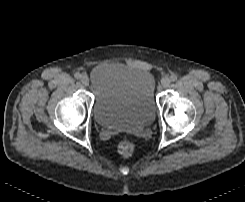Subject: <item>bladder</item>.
<instances>
[{
	"label": "bladder",
	"instance_id": "bladder-1",
	"mask_svg": "<svg viewBox=\"0 0 245 202\" xmlns=\"http://www.w3.org/2000/svg\"><path fill=\"white\" fill-rule=\"evenodd\" d=\"M92 114L100 128L144 127L158 111L153 74L123 63H102L90 74Z\"/></svg>",
	"mask_w": 245,
	"mask_h": 202
}]
</instances>
